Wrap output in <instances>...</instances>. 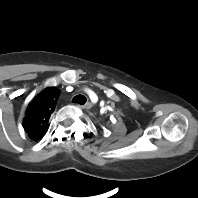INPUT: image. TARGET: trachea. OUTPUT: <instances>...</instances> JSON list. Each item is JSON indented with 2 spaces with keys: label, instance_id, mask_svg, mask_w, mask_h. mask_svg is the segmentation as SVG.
Instances as JSON below:
<instances>
[{
  "label": "trachea",
  "instance_id": "trachea-1",
  "mask_svg": "<svg viewBox=\"0 0 198 198\" xmlns=\"http://www.w3.org/2000/svg\"><path fill=\"white\" fill-rule=\"evenodd\" d=\"M86 100H87V99H86L85 96H83V95H76V96L72 99V102H73V103H78V104L83 105V104H85Z\"/></svg>",
  "mask_w": 198,
  "mask_h": 198
}]
</instances>
